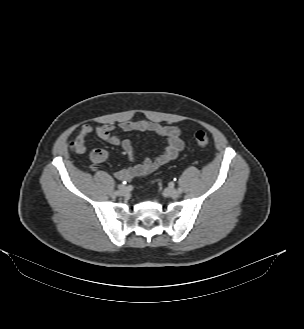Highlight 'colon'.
Masks as SVG:
<instances>
[{
	"instance_id": "5ec220e1",
	"label": "colon",
	"mask_w": 304,
	"mask_h": 329,
	"mask_svg": "<svg viewBox=\"0 0 304 329\" xmlns=\"http://www.w3.org/2000/svg\"><path fill=\"white\" fill-rule=\"evenodd\" d=\"M195 140H196V143L201 147H206L210 144V139H209L208 135L203 131H198L195 134ZM72 145L74 148V143Z\"/></svg>"
}]
</instances>
